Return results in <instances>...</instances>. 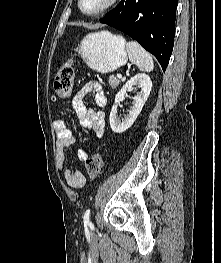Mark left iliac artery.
<instances>
[{"instance_id": "44dca946", "label": "left iliac artery", "mask_w": 221, "mask_h": 263, "mask_svg": "<svg viewBox=\"0 0 221 263\" xmlns=\"http://www.w3.org/2000/svg\"><path fill=\"white\" fill-rule=\"evenodd\" d=\"M89 217H90V209L86 210V212L84 213L83 220L85 224L91 225L93 227L92 223L89 220Z\"/></svg>"}]
</instances>
